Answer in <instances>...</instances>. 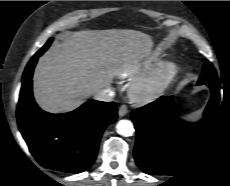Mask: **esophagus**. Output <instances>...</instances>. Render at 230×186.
Here are the masks:
<instances>
[{
	"instance_id": "34e87169",
	"label": "esophagus",
	"mask_w": 230,
	"mask_h": 186,
	"mask_svg": "<svg viewBox=\"0 0 230 186\" xmlns=\"http://www.w3.org/2000/svg\"><path fill=\"white\" fill-rule=\"evenodd\" d=\"M128 113V108L126 105H121L118 110V114L120 117L125 116Z\"/></svg>"
}]
</instances>
